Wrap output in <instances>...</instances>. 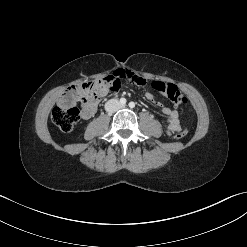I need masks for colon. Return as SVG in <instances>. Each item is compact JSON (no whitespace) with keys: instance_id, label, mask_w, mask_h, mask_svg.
Listing matches in <instances>:
<instances>
[{"instance_id":"colon-1","label":"colon","mask_w":247,"mask_h":247,"mask_svg":"<svg viewBox=\"0 0 247 247\" xmlns=\"http://www.w3.org/2000/svg\"><path fill=\"white\" fill-rule=\"evenodd\" d=\"M132 81L137 85L145 83V80L141 77H135ZM120 83L121 80L119 78L110 75L96 82L84 83L79 86H75L72 91L68 92L61 98L58 105L52 110V122L63 132L72 131L80 117V110L74 104L77 94L82 93L83 102L88 106H92L97 103L99 91L102 88L109 87L119 89ZM152 88L165 95L175 105H184L187 103L186 96L171 83L154 81L152 83ZM186 135L187 131L182 130L177 132L174 137L176 139H183Z\"/></svg>"}]
</instances>
